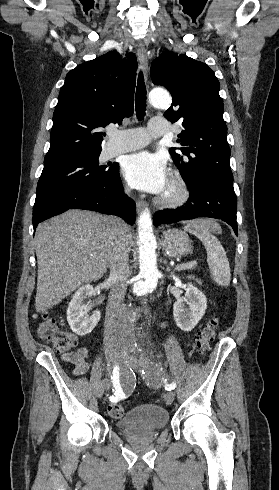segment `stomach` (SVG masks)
I'll list each match as a JSON object with an SVG mask.
<instances>
[{"mask_svg":"<svg viewBox=\"0 0 279 490\" xmlns=\"http://www.w3.org/2000/svg\"><path fill=\"white\" fill-rule=\"evenodd\" d=\"M162 248L169 258H182L192 252L191 240L182 230H165L161 236Z\"/></svg>","mask_w":279,"mask_h":490,"instance_id":"stomach-1","label":"stomach"}]
</instances>
